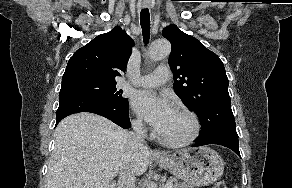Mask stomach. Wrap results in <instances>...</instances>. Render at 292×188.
<instances>
[{"mask_svg":"<svg viewBox=\"0 0 292 188\" xmlns=\"http://www.w3.org/2000/svg\"><path fill=\"white\" fill-rule=\"evenodd\" d=\"M155 162L191 186L212 184L224 171L222 157L209 147L183 149Z\"/></svg>","mask_w":292,"mask_h":188,"instance_id":"obj_1","label":"stomach"}]
</instances>
